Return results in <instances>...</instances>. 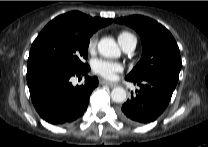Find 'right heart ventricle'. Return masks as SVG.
<instances>
[{"mask_svg":"<svg viewBox=\"0 0 208 147\" xmlns=\"http://www.w3.org/2000/svg\"><path fill=\"white\" fill-rule=\"evenodd\" d=\"M131 34L129 32L123 31L118 35V41L120 45L122 46L126 39L130 36Z\"/></svg>","mask_w":208,"mask_h":147,"instance_id":"e07e8e85","label":"right heart ventricle"}]
</instances>
